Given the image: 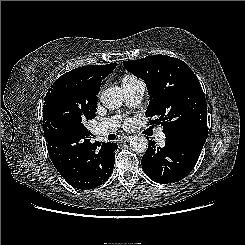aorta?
I'll return each mask as SVG.
<instances>
[{
    "label": "aorta",
    "mask_w": 245,
    "mask_h": 245,
    "mask_svg": "<svg viewBox=\"0 0 245 245\" xmlns=\"http://www.w3.org/2000/svg\"><path fill=\"white\" fill-rule=\"evenodd\" d=\"M100 101L106 108L117 109L122 106L123 91L119 87H109L102 92ZM130 148L136 153H143L148 148V141L144 136H134Z\"/></svg>",
    "instance_id": "aorta-1"
}]
</instances>
